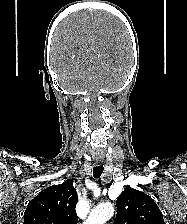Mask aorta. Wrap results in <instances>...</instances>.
I'll return each instance as SVG.
<instances>
[{"mask_svg": "<svg viewBox=\"0 0 187 224\" xmlns=\"http://www.w3.org/2000/svg\"><path fill=\"white\" fill-rule=\"evenodd\" d=\"M114 214V207L111 203L99 205L90 212L85 224H104Z\"/></svg>", "mask_w": 187, "mask_h": 224, "instance_id": "1", "label": "aorta"}]
</instances>
